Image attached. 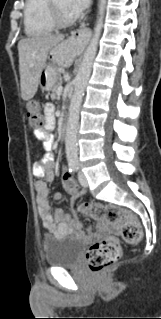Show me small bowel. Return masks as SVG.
<instances>
[{"instance_id":"c3829d8e","label":"small bowel","mask_w":161,"mask_h":319,"mask_svg":"<svg viewBox=\"0 0 161 319\" xmlns=\"http://www.w3.org/2000/svg\"><path fill=\"white\" fill-rule=\"evenodd\" d=\"M55 109L52 104H47L45 107V128L44 130L35 129L33 134L34 137L41 142L43 149L50 150L55 149L56 144L53 141L52 130L55 124ZM47 145H50V149H46ZM54 168L55 163L50 156H44L37 159L33 165L32 172L33 175L41 178L46 176L48 180H52L54 177ZM67 178L75 187L69 189L70 192L74 193L76 197H79L84 194V190L77 191V184L75 180L66 172L63 173V179ZM64 184V182H63ZM35 191H36V202L38 213L41 218L43 226L50 232L56 233L58 235H63L68 232H78L80 230V223L77 220H73L69 213L64 212L63 210H58L53 215L50 209L49 203V188L45 181L37 180L35 182ZM54 200L61 201L63 200L62 193H55L53 196ZM98 234L97 237H100L102 233L113 230L117 231L116 227L109 228L104 221H99L98 223ZM88 235L92 236V232L88 231Z\"/></svg>"}]
</instances>
